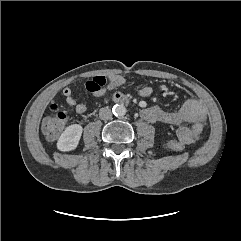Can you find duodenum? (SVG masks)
Instances as JSON below:
<instances>
[{"mask_svg": "<svg viewBox=\"0 0 241 241\" xmlns=\"http://www.w3.org/2000/svg\"><path fill=\"white\" fill-rule=\"evenodd\" d=\"M112 100L116 103L127 101L126 97L121 94H116L113 96Z\"/></svg>", "mask_w": 241, "mask_h": 241, "instance_id": "410a0bca", "label": "duodenum"}]
</instances>
